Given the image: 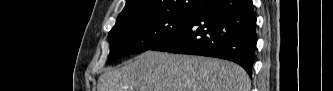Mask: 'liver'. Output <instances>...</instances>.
I'll use <instances>...</instances> for the list:
<instances>
[{
	"label": "liver",
	"mask_w": 333,
	"mask_h": 91,
	"mask_svg": "<svg viewBox=\"0 0 333 91\" xmlns=\"http://www.w3.org/2000/svg\"><path fill=\"white\" fill-rule=\"evenodd\" d=\"M250 84L232 62L146 51L101 74L97 91H249Z\"/></svg>",
	"instance_id": "6515ba94"
}]
</instances>
